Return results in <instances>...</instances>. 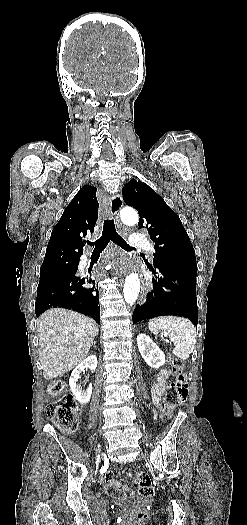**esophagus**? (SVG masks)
<instances>
[{
	"label": "esophagus",
	"mask_w": 247,
	"mask_h": 525,
	"mask_svg": "<svg viewBox=\"0 0 247 525\" xmlns=\"http://www.w3.org/2000/svg\"><path fill=\"white\" fill-rule=\"evenodd\" d=\"M110 200V211L115 216L116 220H119V211L123 206V199L122 196L119 193L112 194L109 197ZM124 265H127V262H124ZM125 270H128V273H136V276L141 280L139 282V285H142L141 292H140V305H143L146 301V292L147 287L145 285V276H143V270L139 268L137 265L133 266V263H128V267H125Z\"/></svg>",
	"instance_id": "1"
}]
</instances>
